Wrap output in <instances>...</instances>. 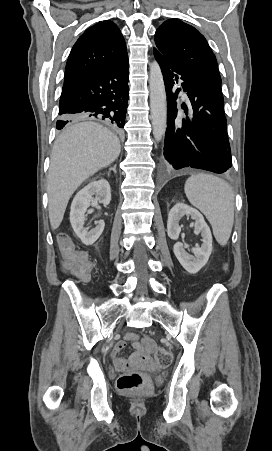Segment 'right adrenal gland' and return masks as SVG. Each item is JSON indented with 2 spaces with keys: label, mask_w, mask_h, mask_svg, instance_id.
Listing matches in <instances>:
<instances>
[{
  "label": "right adrenal gland",
  "mask_w": 272,
  "mask_h": 451,
  "mask_svg": "<svg viewBox=\"0 0 272 451\" xmlns=\"http://www.w3.org/2000/svg\"><path fill=\"white\" fill-rule=\"evenodd\" d=\"M111 170H113L114 174H116V166H113V168H109V172H111Z\"/></svg>",
  "instance_id": "2a0ac1e0"
}]
</instances>
